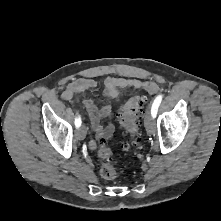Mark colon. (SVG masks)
I'll use <instances>...</instances> for the list:
<instances>
[{"label": "colon", "instance_id": "obj_1", "mask_svg": "<svg viewBox=\"0 0 221 221\" xmlns=\"http://www.w3.org/2000/svg\"><path fill=\"white\" fill-rule=\"evenodd\" d=\"M145 103V96H134L126 103L119 115L120 124L130 134V140L124 143L123 147L127 151H132L135 155H139L142 147L138 135V125L142 117ZM98 156L102 162L100 176L104 180H116L119 177V173L116 167L111 163L112 153L103 141L99 143Z\"/></svg>", "mask_w": 221, "mask_h": 221}]
</instances>
